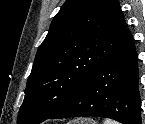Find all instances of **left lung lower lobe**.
Masks as SVG:
<instances>
[{
  "mask_svg": "<svg viewBox=\"0 0 145 124\" xmlns=\"http://www.w3.org/2000/svg\"><path fill=\"white\" fill-rule=\"evenodd\" d=\"M137 61L134 40L127 31L120 45L47 119L93 116L142 124Z\"/></svg>",
  "mask_w": 145,
  "mask_h": 124,
  "instance_id": "1",
  "label": "left lung lower lobe"
}]
</instances>
